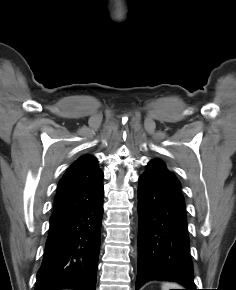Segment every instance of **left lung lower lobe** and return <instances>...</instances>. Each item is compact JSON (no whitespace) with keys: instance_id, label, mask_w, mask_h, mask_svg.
Here are the masks:
<instances>
[{"instance_id":"left-lung-lower-lobe-1","label":"left lung lower lobe","mask_w":236,"mask_h":290,"mask_svg":"<svg viewBox=\"0 0 236 290\" xmlns=\"http://www.w3.org/2000/svg\"><path fill=\"white\" fill-rule=\"evenodd\" d=\"M138 213L136 290L150 280L176 281L196 290L180 187L141 175Z\"/></svg>"}]
</instances>
